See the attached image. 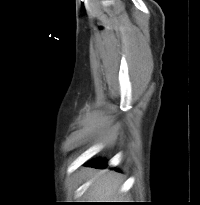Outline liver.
I'll return each mask as SVG.
<instances>
[{
    "instance_id": "6515ba94",
    "label": "liver",
    "mask_w": 200,
    "mask_h": 205,
    "mask_svg": "<svg viewBox=\"0 0 200 205\" xmlns=\"http://www.w3.org/2000/svg\"><path fill=\"white\" fill-rule=\"evenodd\" d=\"M120 185L121 179L118 175L111 172L104 173L94 179L89 195L95 200H111L118 197Z\"/></svg>"
}]
</instances>
